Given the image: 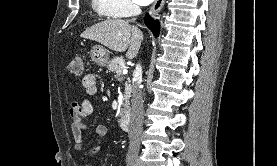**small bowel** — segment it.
Instances as JSON below:
<instances>
[{
    "label": "small bowel",
    "instance_id": "1",
    "mask_svg": "<svg viewBox=\"0 0 277 166\" xmlns=\"http://www.w3.org/2000/svg\"><path fill=\"white\" fill-rule=\"evenodd\" d=\"M82 86L84 89V98L79 101H74L70 105L69 116L71 119V131L75 141L76 150L85 154L87 141L84 138L85 123L83 117L89 116L93 113V105L89 100V96L94 95L97 92V76L93 73L85 75L82 79ZM107 134V128L103 125H99L94 130V138L96 140L103 139ZM99 151V146L93 147L90 151V155H95ZM86 166H92L88 163Z\"/></svg>",
    "mask_w": 277,
    "mask_h": 166
}]
</instances>
